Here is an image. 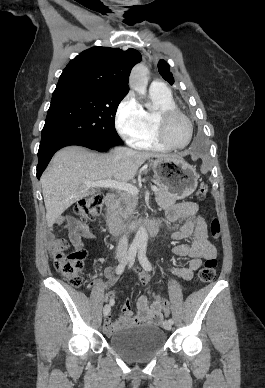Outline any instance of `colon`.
I'll return each mask as SVG.
<instances>
[{"instance_id": "obj_1", "label": "colon", "mask_w": 265, "mask_h": 388, "mask_svg": "<svg viewBox=\"0 0 265 388\" xmlns=\"http://www.w3.org/2000/svg\"><path fill=\"white\" fill-rule=\"evenodd\" d=\"M199 198H204L207 194V185L201 183L196 192ZM103 198L100 195L91 196L79 201L74 213L83 221L95 219L101 213ZM211 233L214 237H218L220 233V223L218 219H213L211 222ZM86 257L84 249H76L71 253H57L54 258V267L61 275L74 287H80L83 283V261ZM217 261L215 258L205 260L202 268L198 272V279L202 283H209L214 280L216 275ZM162 307V312L165 316L170 315V305L168 301L155 296Z\"/></svg>"}]
</instances>
